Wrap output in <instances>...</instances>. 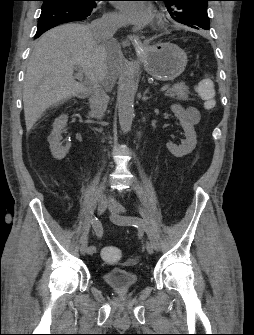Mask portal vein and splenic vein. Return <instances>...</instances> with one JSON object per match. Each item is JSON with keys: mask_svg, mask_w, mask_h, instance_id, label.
Returning <instances> with one entry per match:
<instances>
[{"mask_svg": "<svg viewBox=\"0 0 254 335\" xmlns=\"http://www.w3.org/2000/svg\"><path fill=\"white\" fill-rule=\"evenodd\" d=\"M77 79H78L79 81H83V74H82V72H80V71L78 72V74H77ZM169 87H170L169 84H165V85H163V86L161 87L160 91H161V92H164V91L168 90Z\"/></svg>", "mask_w": 254, "mask_h": 335, "instance_id": "18ae733b", "label": "portal vein and splenic vein"}]
</instances>
